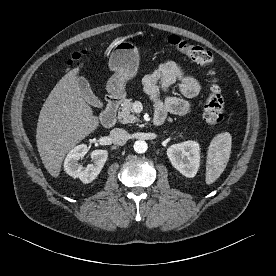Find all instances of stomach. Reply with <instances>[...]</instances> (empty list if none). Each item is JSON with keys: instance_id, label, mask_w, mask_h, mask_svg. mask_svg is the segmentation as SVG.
<instances>
[{"instance_id": "stomach-1", "label": "stomach", "mask_w": 276, "mask_h": 276, "mask_svg": "<svg viewBox=\"0 0 276 276\" xmlns=\"http://www.w3.org/2000/svg\"><path fill=\"white\" fill-rule=\"evenodd\" d=\"M138 65L136 46L127 41L118 42L109 58V68L115 73L107 82V92L113 97L123 95L126 83L136 75Z\"/></svg>"}]
</instances>
